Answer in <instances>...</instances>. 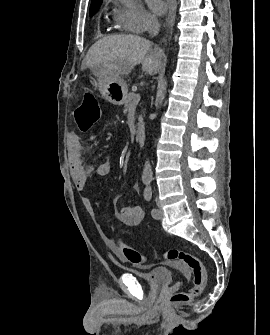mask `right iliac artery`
Returning <instances> with one entry per match:
<instances>
[{
	"mask_svg": "<svg viewBox=\"0 0 270 335\" xmlns=\"http://www.w3.org/2000/svg\"><path fill=\"white\" fill-rule=\"evenodd\" d=\"M144 183H145V184H148V183H149V181H148V180H144Z\"/></svg>",
	"mask_w": 270,
	"mask_h": 335,
	"instance_id": "82829eb1",
	"label": "right iliac artery"
}]
</instances>
